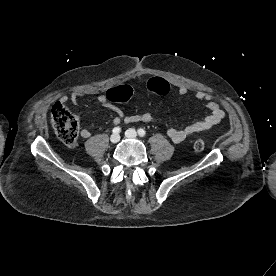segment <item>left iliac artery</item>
I'll list each match as a JSON object with an SVG mask.
<instances>
[{
	"label": "left iliac artery",
	"instance_id": "left-iliac-artery-1",
	"mask_svg": "<svg viewBox=\"0 0 276 276\" xmlns=\"http://www.w3.org/2000/svg\"><path fill=\"white\" fill-rule=\"evenodd\" d=\"M138 134H139V136L144 137L146 135V131L144 129L140 128V129H138Z\"/></svg>",
	"mask_w": 276,
	"mask_h": 276
}]
</instances>
